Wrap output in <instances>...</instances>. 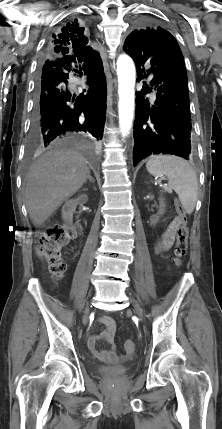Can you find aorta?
Returning <instances> with one entry per match:
<instances>
[{
  "instance_id": "aorta-1",
  "label": "aorta",
  "mask_w": 222,
  "mask_h": 429,
  "mask_svg": "<svg viewBox=\"0 0 222 429\" xmlns=\"http://www.w3.org/2000/svg\"><path fill=\"white\" fill-rule=\"evenodd\" d=\"M118 75V112L119 126L123 137H126L132 127L134 113V88L136 70L133 60L128 55H120L117 59Z\"/></svg>"
}]
</instances>
